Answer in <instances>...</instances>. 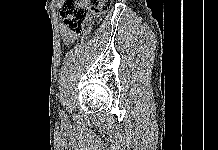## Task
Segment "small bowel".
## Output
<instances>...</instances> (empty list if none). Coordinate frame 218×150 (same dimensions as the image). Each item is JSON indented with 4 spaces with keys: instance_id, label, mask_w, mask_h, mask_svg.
<instances>
[{
    "instance_id": "obj_1",
    "label": "small bowel",
    "mask_w": 218,
    "mask_h": 150,
    "mask_svg": "<svg viewBox=\"0 0 218 150\" xmlns=\"http://www.w3.org/2000/svg\"><path fill=\"white\" fill-rule=\"evenodd\" d=\"M60 32H61L62 40L65 44H69L75 39V35L68 29L66 24L61 25Z\"/></svg>"
}]
</instances>
